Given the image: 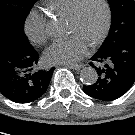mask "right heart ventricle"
Returning a JSON list of instances; mask_svg holds the SVG:
<instances>
[{
  "label": "right heart ventricle",
  "mask_w": 135,
  "mask_h": 135,
  "mask_svg": "<svg viewBox=\"0 0 135 135\" xmlns=\"http://www.w3.org/2000/svg\"><path fill=\"white\" fill-rule=\"evenodd\" d=\"M79 1L80 0H49L46 7L54 14L68 18Z\"/></svg>",
  "instance_id": "right-heart-ventricle-1"
}]
</instances>
